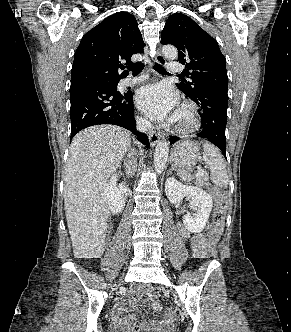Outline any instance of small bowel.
Returning <instances> with one entry per match:
<instances>
[{
	"mask_svg": "<svg viewBox=\"0 0 291 332\" xmlns=\"http://www.w3.org/2000/svg\"><path fill=\"white\" fill-rule=\"evenodd\" d=\"M209 229L212 228V225L208 227ZM183 235L190 239L191 250L196 258H204L206 256L208 242L207 238L204 234H195L189 236L187 232H183ZM136 303H143L148 301L150 306L155 311H161L162 307L159 302L153 299L150 290L146 291H137L135 292V299ZM118 324L124 326L125 321L122 319L118 320ZM172 324L170 313H167L163 320H152L146 322L143 327L147 330L153 332H166L170 329Z\"/></svg>",
	"mask_w": 291,
	"mask_h": 332,
	"instance_id": "small-bowel-1",
	"label": "small bowel"
}]
</instances>
